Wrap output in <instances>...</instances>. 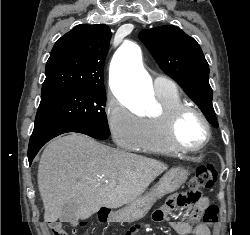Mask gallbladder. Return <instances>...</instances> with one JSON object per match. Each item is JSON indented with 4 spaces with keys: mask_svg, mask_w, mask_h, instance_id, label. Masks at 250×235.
I'll return each instance as SVG.
<instances>
[{
    "mask_svg": "<svg viewBox=\"0 0 250 235\" xmlns=\"http://www.w3.org/2000/svg\"><path fill=\"white\" fill-rule=\"evenodd\" d=\"M76 211H77V205L74 202L67 203L63 207L60 220L63 222H75V221H77Z\"/></svg>",
    "mask_w": 250,
    "mask_h": 235,
    "instance_id": "1",
    "label": "gallbladder"
}]
</instances>
